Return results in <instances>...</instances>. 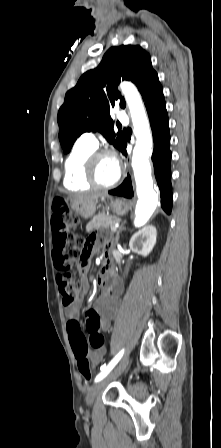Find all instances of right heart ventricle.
Returning a JSON list of instances; mask_svg holds the SVG:
<instances>
[{
    "mask_svg": "<svg viewBox=\"0 0 221 448\" xmlns=\"http://www.w3.org/2000/svg\"><path fill=\"white\" fill-rule=\"evenodd\" d=\"M95 148L77 142L68 154L64 165L63 184L70 190H88L92 186L84 177V161Z\"/></svg>",
    "mask_w": 221,
    "mask_h": 448,
    "instance_id": "1",
    "label": "right heart ventricle"
}]
</instances>
